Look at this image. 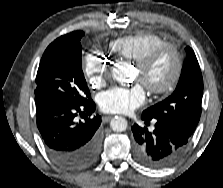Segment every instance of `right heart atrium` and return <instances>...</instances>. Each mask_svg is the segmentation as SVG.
<instances>
[{
  "instance_id": "1",
  "label": "right heart atrium",
  "mask_w": 223,
  "mask_h": 188,
  "mask_svg": "<svg viewBox=\"0 0 223 188\" xmlns=\"http://www.w3.org/2000/svg\"><path fill=\"white\" fill-rule=\"evenodd\" d=\"M83 73L92 87L101 86L109 73V62L96 52H89L83 59Z\"/></svg>"
}]
</instances>
